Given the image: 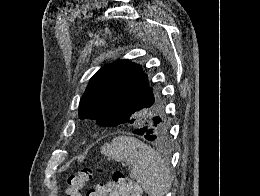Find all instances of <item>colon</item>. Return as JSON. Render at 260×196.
<instances>
[{"label":"colon","instance_id":"obj_1","mask_svg":"<svg viewBox=\"0 0 260 196\" xmlns=\"http://www.w3.org/2000/svg\"><path fill=\"white\" fill-rule=\"evenodd\" d=\"M95 175V172L90 168H83L77 174H70L67 179V196H80L84 184L93 180ZM110 183L120 190L125 189L129 185L126 176L119 172L111 175Z\"/></svg>","mask_w":260,"mask_h":196}]
</instances>
